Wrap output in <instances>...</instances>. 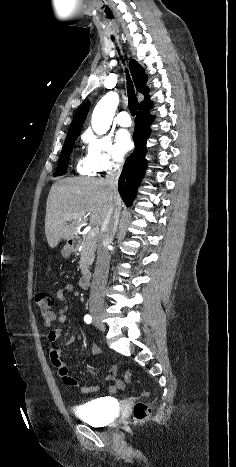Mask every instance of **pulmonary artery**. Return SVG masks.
Instances as JSON below:
<instances>
[{"label": "pulmonary artery", "instance_id": "e3ab8cb5", "mask_svg": "<svg viewBox=\"0 0 236 467\" xmlns=\"http://www.w3.org/2000/svg\"><path fill=\"white\" fill-rule=\"evenodd\" d=\"M117 122L120 126L129 127L132 123L131 117L127 111H121L117 116Z\"/></svg>", "mask_w": 236, "mask_h": 467}]
</instances>
